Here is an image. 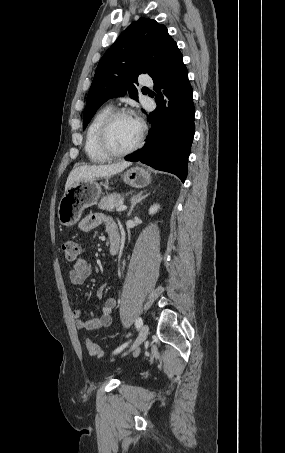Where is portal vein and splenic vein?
Here are the masks:
<instances>
[{"mask_svg": "<svg viewBox=\"0 0 285 453\" xmlns=\"http://www.w3.org/2000/svg\"><path fill=\"white\" fill-rule=\"evenodd\" d=\"M127 209V206L124 205L122 202H120L119 206L117 207V211L120 212V211H124Z\"/></svg>", "mask_w": 285, "mask_h": 453, "instance_id": "18ae733b", "label": "portal vein and splenic vein"}]
</instances>
